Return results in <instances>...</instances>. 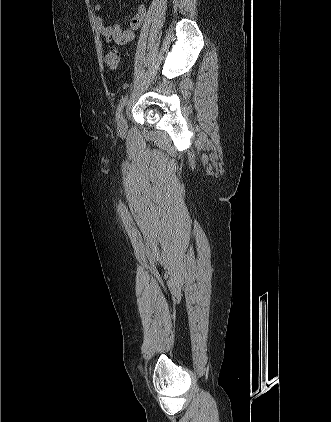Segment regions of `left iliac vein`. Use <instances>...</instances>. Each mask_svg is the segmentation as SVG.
Listing matches in <instances>:
<instances>
[{
	"mask_svg": "<svg viewBox=\"0 0 331 422\" xmlns=\"http://www.w3.org/2000/svg\"><path fill=\"white\" fill-rule=\"evenodd\" d=\"M118 130L121 133H124L127 130V122L124 113L121 114L120 119L118 121Z\"/></svg>",
	"mask_w": 331,
	"mask_h": 422,
	"instance_id": "1",
	"label": "left iliac vein"
}]
</instances>
